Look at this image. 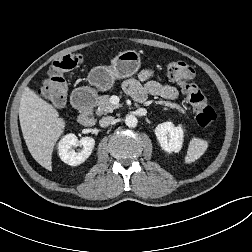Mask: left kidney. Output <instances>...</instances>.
I'll return each instance as SVG.
<instances>
[{
  "instance_id": "1",
  "label": "left kidney",
  "mask_w": 252,
  "mask_h": 252,
  "mask_svg": "<svg viewBox=\"0 0 252 252\" xmlns=\"http://www.w3.org/2000/svg\"><path fill=\"white\" fill-rule=\"evenodd\" d=\"M155 135L161 148L168 152H179L183 143V129L179 125L174 126L172 122H164L155 128Z\"/></svg>"
}]
</instances>
